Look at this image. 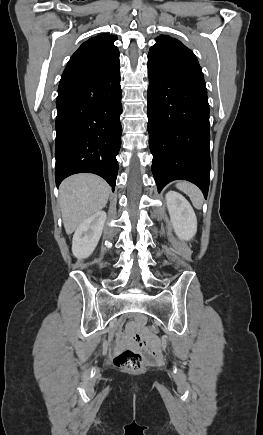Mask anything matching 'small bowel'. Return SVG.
<instances>
[{"label":"small bowel","instance_id":"small-bowel-1","mask_svg":"<svg viewBox=\"0 0 263 435\" xmlns=\"http://www.w3.org/2000/svg\"><path fill=\"white\" fill-rule=\"evenodd\" d=\"M136 321L140 325H145L147 318L144 315H139ZM144 339L141 336H132L131 342L122 333L116 336V346L124 347L132 343L136 345L137 350H144V354H149V359L151 361H160L162 359V354L160 353L158 341H154V332H145Z\"/></svg>","mask_w":263,"mask_h":435}]
</instances>
